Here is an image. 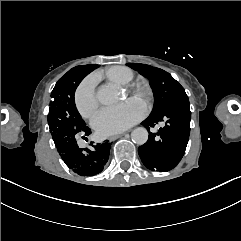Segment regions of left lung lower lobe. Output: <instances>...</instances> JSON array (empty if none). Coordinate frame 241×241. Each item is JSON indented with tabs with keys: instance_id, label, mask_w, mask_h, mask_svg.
Here are the masks:
<instances>
[{
	"instance_id": "left-lung-lower-lobe-1",
	"label": "left lung lower lobe",
	"mask_w": 241,
	"mask_h": 241,
	"mask_svg": "<svg viewBox=\"0 0 241 241\" xmlns=\"http://www.w3.org/2000/svg\"><path fill=\"white\" fill-rule=\"evenodd\" d=\"M189 106L188 97L179 98L141 123L149 130L155 124L166 121L156 134L149 132L148 141L138 148L139 156L148 169L166 172L182 159L190 134Z\"/></svg>"
}]
</instances>
